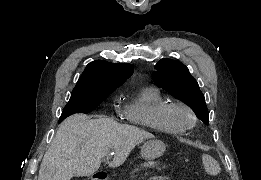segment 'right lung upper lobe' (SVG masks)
Masks as SVG:
<instances>
[{"instance_id": "obj_1", "label": "right lung upper lobe", "mask_w": 261, "mask_h": 180, "mask_svg": "<svg viewBox=\"0 0 261 180\" xmlns=\"http://www.w3.org/2000/svg\"><path fill=\"white\" fill-rule=\"evenodd\" d=\"M134 72L131 64L102 60L89 63L80 76L73 93L111 94Z\"/></svg>"}]
</instances>
